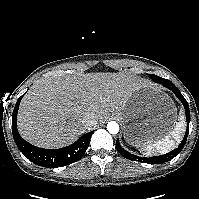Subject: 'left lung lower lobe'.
<instances>
[{"label": "left lung lower lobe", "instance_id": "obj_1", "mask_svg": "<svg viewBox=\"0 0 199 199\" xmlns=\"http://www.w3.org/2000/svg\"><path fill=\"white\" fill-rule=\"evenodd\" d=\"M156 83L162 84L163 86H165L168 89H171L175 93V95L179 98V100L184 105L185 112H186L187 123L189 124V122H190L189 106H188L187 101L182 96L181 92L179 91V89L170 81H161V82H156ZM188 131H189V125H188L187 131H186V135H185L183 141L181 142V144L178 146V148H176L175 150H173L172 152H170L168 154L161 155V156H156V157H151V158H142V157H138L136 155H132L129 152L125 151L121 147V145H120L118 140L116 141V147H117V150L120 152V154L122 156H124L125 158L132 159L134 161L138 160V161H140L142 163L160 164V163H164V162H167V161L173 159L175 156H177L181 152V150L183 149V147H184V145L186 143V139H187V136H188Z\"/></svg>", "mask_w": 199, "mask_h": 199}]
</instances>
